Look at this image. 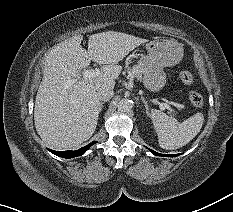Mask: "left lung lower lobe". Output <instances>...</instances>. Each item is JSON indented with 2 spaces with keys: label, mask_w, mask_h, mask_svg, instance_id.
Segmentation results:
<instances>
[{
  "label": "left lung lower lobe",
  "mask_w": 233,
  "mask_h": 212,
  "mask_svg": "<svg viewBox=\"0 0 233 212\" xmlns=\"http://www.w3.org/2000/svg\"><path fill=\"white\" fill-rule=\"evenodd\" d=\"M149 150H150L154 155H156V156L175 157V156L179 155V154L164 155V154H159V153H157V152H155V151H153V150H151V149H149Z\"/></svg>",
  "instance_id": "left-lung-lower-lobe-1"
}]
</instances>
